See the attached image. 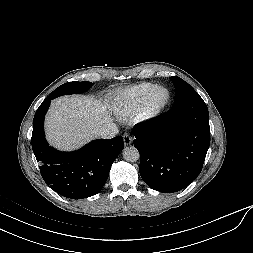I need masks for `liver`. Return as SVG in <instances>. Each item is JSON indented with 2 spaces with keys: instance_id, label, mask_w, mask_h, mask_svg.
<instances>
[{
  "instance_id": "1",
  "label": "liver",
  "mask_w": 253,
  "mask_h": 253,
  "mask_svg": "<svg viewBox=\"0 0 253 253\" xmlns=\"http://www.w3.org/2000/svg\"><path fill=\"white\" fill-rule=\"evenodd\" d=\"M109 105L86 96L54 100L45 121L49 143L60 150H74L96 137L94 130L111 122Z\"/></svg>"
}]
</instances>
